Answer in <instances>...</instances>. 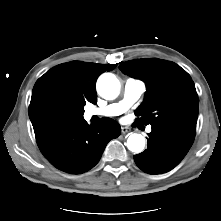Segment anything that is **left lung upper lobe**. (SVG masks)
I'll use <instances>...</instances> for the list:
<instances>
[{
    "instance_id": "left-lung-upper-lobe-1",
    "label": "left lung upper lobe",
    "mask_w": 221,
    "mask_h": 221,
    "mask_svg": "<svg viewBox=\"0 0 221 221\" xmlns=\"http://www.w3.org/2000/svg\"><path fill=\"white\" fill-rule=\"evenodd\" d=\"M120 70L146 84L144 101L136 110L137 124L167 125L195 134L198 95L190 75L179 65L157 58L120 64Z\"/></svg>"
}]
</instances>
